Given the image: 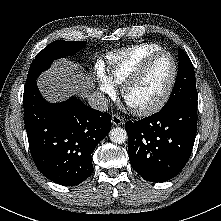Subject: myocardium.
Here are the masks:
<instances>
[{
  "label": "myocardium",
  "mask_w": 221,
  "mask_h": 221,
  "mask_svg": "<svg viewBox=\"0 0 221 221\" xmlns=\"http://www.w3.org/2000/svg\"><path fill=\"white\" fill-rule=\"evenodd\" d=\"M161 56H168L172 60L173 72H172L171 78H170L166 88L164 89V91L160 95V97L158 99H156L154 102H152L151 104H149L147 106H143V107H139V108L131 107L132 111L138 115L146 116V115L154 114L157 111H159L169 100V98L173 92V89L175 87V84L177 82L178 73H179L178 63H177L174 55L171 54L170 52H167L164 50H160V51L150 54L141 62V64L121 84V89H120L121 97H122L123 101L125 103H127L126 97H127L128 90L139 80V78L145 73V71L148 69V67L157 58H159Z\"/></svg>",
  "instance_id": "obj_1"
}]
</instances>
